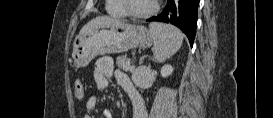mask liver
Instances as JSON below:
<instances>
[{"label":"liver","instance_id":"6515ba94","mask_svg":"<svg viewBox=\"0 0 273 118\" xmlns=\"http://www.w3.org/2000/svg\"><path fill=\"white\" fill-rule=\"evenodd\" d=\"M117 20L111 18V17H107V16H100V17H96L94 19H92L91 21H89L86 25H84L82 27V29L80 30L79 35H82L96 27H100V26H104L113 22H116Z\"/></svg>","mask_w":273,"mask_h":118}]
</instances>
